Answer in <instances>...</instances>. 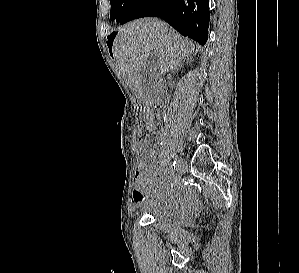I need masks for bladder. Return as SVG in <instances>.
<instances>
[{
    "instance_id": "31cf9c89",
    "label": "bladder",
    "mask_w": 299,
    "mask_h": 273,
    "mask_svg": "<svg viewBox=\"0 0 299 273\" xmlns=\"http://www.w3.org/2000/svg\"><path fill=\"white\" fill-rule=\"evenodd\" d=\"M149 216L155 223L167 228L174 227L183 220V216L176 212L153 211Z\"/></svg>"
}]
</instances>
